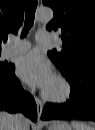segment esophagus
Masks as SVG:
<instances>
[{"instance_id": "1", "label": "esophagus", "mask_w": 95, "mask_h": 130, "mask_svg": "<svg viewBox=\"0 0 95 130\" xmlns=\"http://www.w3.org/2000/svg\"><path fill=\"white\" fill-rule=\"evenodd\" d=\"M34 98L37 105L38 118H40L43 111V103L37 96H35Z\"/></svg>"}]
</instances>
